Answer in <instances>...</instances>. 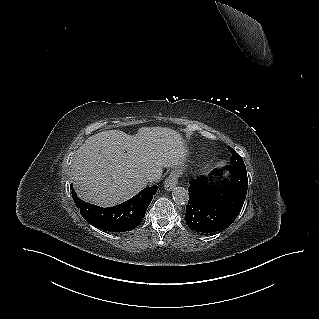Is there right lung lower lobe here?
Here are the masks:
<instances>
[{
    "instance_id": "obj_1",
    "label": "right lung lower lobe",
    "mask_w": 319,
    "mask_h": 319,
    "mask_svg": "<svg viewBox=\"0 0 319 319\" xmlns=\"http://www.w3.org/2000/svg\"><path fill=\"white\" fill-rule=\"evenodd\" d=\"M157 186L143 189L128 201L110 208L87 204L72 190V198L83 218L96 228L109 232H125L137 227L156 193Z\"/></svg>"
}]
</instances>
